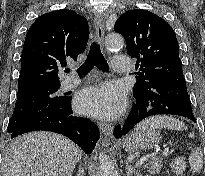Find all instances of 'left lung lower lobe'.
Instances as JSON below:
<instances>
[{"label":"left lung lower lobe","mask_w":205,"mask_h":176,"mask_svg":"<svg viewBox=\"0 0 205 176\" xmlns=\"http://www.w3.org/2000/svg\"><path fill=\"white\" fill-rule=\"evenodd\" d=\"M133 95L136 102L130 115L123 125L114 129L117 138L126 135L142 120L155 115H178L196 122L184 78L161 79L150 89Z\"/></svg>","instance_id":"left-lung-lower-lobe-1"}]
</instances>
